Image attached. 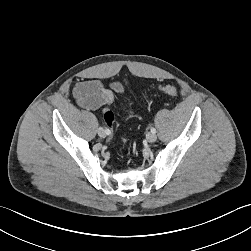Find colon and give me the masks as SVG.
I'll use <instances>...</instances> for the list:
<instances>
[{"instance_id": "5ec220e1", "label": "colon", "mask_w": 251, "mask_h": 251, "mask_svg": "<svg viewBox=\"0 0 251 251\" xmlns=\"http://www.w3.org/2000/svg\"><path fill=\"white\" fill-rule=\"evenodd\" d=\"M159 89L163 93H165V94H167L169 96H172V97H175L178 94L177 89L174 86H171V85H164V86H161ZM104 119L109 125H112L113 122H114V119H115L113 111L110 110V109L105 110Z\"/></svg>"}]
</instances>
